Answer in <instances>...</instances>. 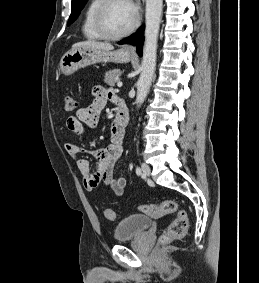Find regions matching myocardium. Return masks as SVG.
Returning a JSON list of instances; mask_svg holds the SVG:
<instances>
[{
  "mask_svg": "<svg viewBox=\"0 0 259 283\" xmlns=\"http://www.w3.org/2000/svg\"><path fill=\"white\" fill-rule=\"evenodd\" d=\"M114 0H101L99 3L96 11H95V16H94V26L98 34L108 40H118L121 38H124L128 35H130L137 27L139 24V14L136 8H134V20L132 24L123 32L121 33H110L104 24V14L107 9V7L113 2Z\"/></svg>",
  "mask_w": 259,
  "mask_h": 283,
  "instance_id": "1",
  "label": "myocardium"
}]
</instances>
